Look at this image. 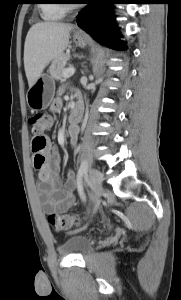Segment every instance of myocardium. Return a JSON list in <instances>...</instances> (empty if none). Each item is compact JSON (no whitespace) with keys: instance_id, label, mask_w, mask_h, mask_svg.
I'll use <instances>...</instances> for the list:
<instances>
[{"instance_id":"f54148a6","label":"myocardium","mask_w":181,"mask_h":300,"mask_svg":"<svg viewBox=\"0 0 181 300\" xmlns=\"http://www.w3.org/2000/svg\"><path fill=\"white\" fill-rule=\"evenodd\" d=\"M65 9L69 8V5H62Z\"/></svg>"}]
</instances>
